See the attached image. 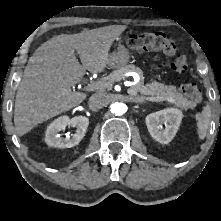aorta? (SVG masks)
I'll return each instance as SVG.
<instances>
[{
	"label": "aorta",
	"mask_w": 221,
	"mask_h": 221,
	"mask_svg": "<svg viewBox=\"0 0 221 221\" xmlns=\"http://www.w3.org/2000/svg\"><path fill=\"white\" fill-rule=\"evenodd\" d=\"M127 111V105L121 102H116L111 107V112L116 116H121Z\"/></svg>",
	"instance_id": "obj_1"
}]
</instances>
